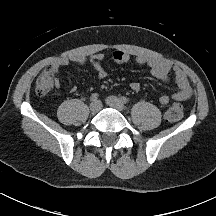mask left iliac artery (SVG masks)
<instances>
[{
	"mask_svg": "<svg viewBox=\"0 0 216 216\" xmlns=\"http://www.w3.org/2000/svg\"><path fill=\"white\" fill-rule=\"evenodd\" d=\"M120 100H121L122 103H124V104H127V103L129 102L128 98H127V97H124V96L120 97Z\"/></svg>",
	"mask_w": 216,
	"mask_h": 216,
	"instance_id": "obj_1",
	"label": "left iliac artery"
}]
</instances>
